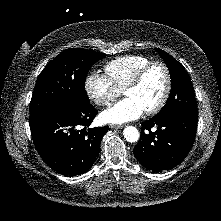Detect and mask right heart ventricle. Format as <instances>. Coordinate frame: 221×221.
<instances>
[{"label":"right heart ventricle","mask_w":221,"mask_h":221,"mask_svg":"<svg viewBox=\"0 0 221 221\" xmlns=\"http://www.w3.org/2000/svg\"><path fill=\"white\" fill-rule=\"evenodd\" d=\"M150 61V58L143 55H125L109 61L104 69L111 82L122 90L134 74Z\"/></svg>","instance_id":"1"}]
</instances>
